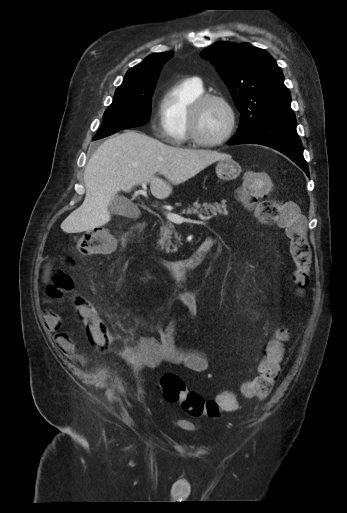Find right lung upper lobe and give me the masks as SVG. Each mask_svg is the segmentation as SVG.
<instances>
[{"label": "right lung upper lobe", "instance_id": "obj_1", "mask_svg": "<svg viewBox=\"0 0 347 513\" xmlns=\"http://www.w3.org/2000/svg\"><path fill=\"white\" fill-rule=\"evenodd\" d=\"M173 56V52L154 53L141 63L129 69L118 88H138L157 82L164 63Z\"/></svg>", "mask_w": 347, "mask_h": 513}]
</instances>
